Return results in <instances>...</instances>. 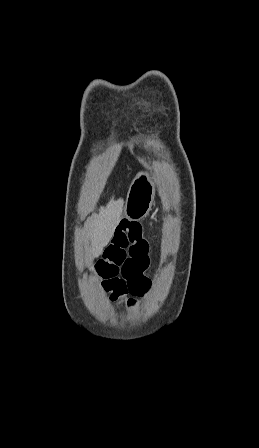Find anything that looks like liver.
I'll return each instance as SVG.
<instances>
[{
    "instance_id": "liver-1",
    "label": "liver",
    "mask_w": 259,
    "mask_h": 448,
    "mask_svg": "<svg viewBox=\"0 0 259 448\" xmlns=\"http://www.w3.org/2000/svg\"><path fill=\"white\" fill-rule=\"evenodd\" d=\"M123 204L121 198L120 200H111L106 208L101 206L99 214H93L87 234V240L91 242L93 258H98L102 254L105 246L114 236L115 228L121 220Z\"/></svg>"
}]
</instances>
